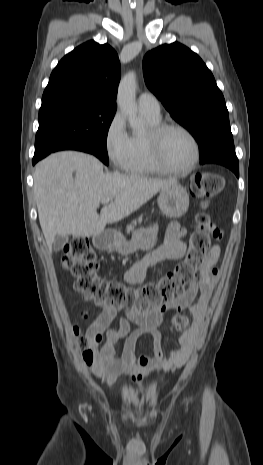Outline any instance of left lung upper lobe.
Segmentation results:
<instances>
[{"label": "left lung upper lobe", "instance_id": "5c2ea615", "mask_svg": "<svg viewBox=\"0 0 263 465\" xmlns=\"http://www.w3.org/2000/svg\"><path fill=\"white\" fill-rule=\"evenodd\" d=\"M147 87L199 144L200 159L235 152L222 92L202 59L175 42L143 59Z\"/></svg>", "mask_w": 263, "mask_h": 465}]
</instances>
